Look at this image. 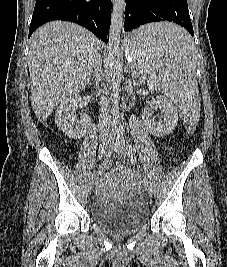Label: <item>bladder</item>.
Here are the masks:
<instances>
[{
	"label": "bladder",
	"mask_w": 227,
	"mask_h": 267,
	"mask_svg": "<svg viewBox=\"0 0 227 267\" xmlns=\"http://www.w3.org/2000/svg\"><path fill=\"white\" fill-rule=\"evenodd\" d=\"M93 221L114 235H128L143 226L149 217L145 203L129 199L124 202L96 200L91 207Z\"/></svg>",
	"instance_id": "31cf9c89"
}]
</instances>
